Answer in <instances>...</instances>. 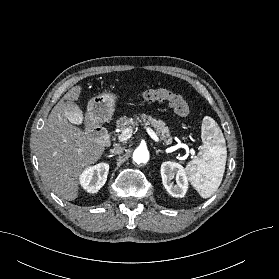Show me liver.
<instances>
[{"label": "liver", "instance_id": "liver-1", "mask_svg": "<svg viewBox=\"0 0 279 279\" xmlns=\"http://www.w3.org/2000/svg\"><path fill=\"white\" fill-rule=\"evenodd\" d=\"M81 91L79 85L72 87L54 106L37 140L42 178L55 194L69 201L78 197L82 172L96 163L105 150L67 117V102L78 100Z\"/></svg>", "mask_w": 279, "mask_h": 279}]
</instances>
